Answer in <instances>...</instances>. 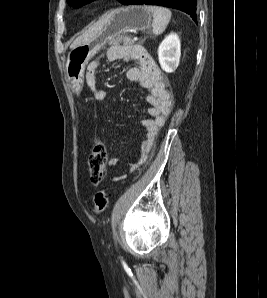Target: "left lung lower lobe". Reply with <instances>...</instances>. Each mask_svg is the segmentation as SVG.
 Returning a JSON list of instances; mask_svg holds the SVG:
<instances>
[{"label":"left lung lower lobe","mask_w":267,"mask_h":298,"mask_svg":"<svg viewBox=\"0 0 267 298\" xmlns=\"http://www.w3.org/2000/svg\"><path fill=\"white\" fill-rule=\"evenodd\" d=\"M124 5L147 4L160 5L178 9L189 14L192 19L197 22L196 16V0H126Z\"/></svg>","instance_id":"left-lung-lower-lobe-1"}]
</instances>
